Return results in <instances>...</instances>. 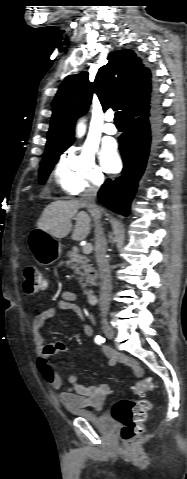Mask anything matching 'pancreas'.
Returning a JSON list of instances; mask_svg holds the SVG:
<instances>
[{
    "mask_svg": "<svg viewBox=\"0 0 187 479\" xmlns=\"http://www.w3.org/2000/svg\"><path fill=\"white\" fill-rule=\"evenodd\" d=\"M66 256L68 258L66 264L71 266L81 276V287L84 289V294H88L87 286L94 283V277L91 275L92 265L90 264V259L87 256L80 255L77 247H73L72 250L68 251ZM83 281L85 282L82 283Z\"/></svg>",
    "mask_w": 187,
    "mask_h": 479,
    "instance_id": "1",
    "label": "pancreas"
}]
</instances>
